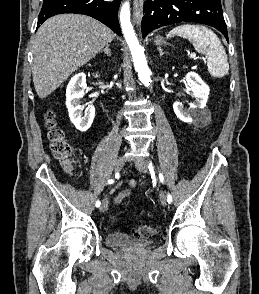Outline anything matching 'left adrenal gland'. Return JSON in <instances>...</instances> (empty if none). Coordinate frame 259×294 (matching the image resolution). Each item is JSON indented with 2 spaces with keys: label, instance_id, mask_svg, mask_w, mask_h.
Returning <instances> with one entry per match:
<instances>
[{
  "label": "left adrenal gland",
  "instance_id": "1",
  "mask_svg": "<svg viewBox=\"0 0 259 294\" xmlns=\"http://www.w3.org/2000/svg\"><path fill=\"white\" fill-rule=\"evenodd\" d=\"M158 50H159V55H160V57L163 56V55L165 54V53L162 51L161 48H159Z\"/></svg>",
  "mask_w": 259,
  "mask_h": 294
}]
</instances>
